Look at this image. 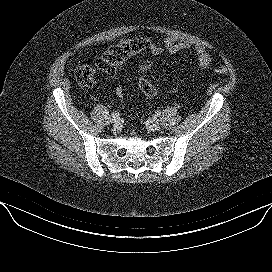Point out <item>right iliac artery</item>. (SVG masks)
<instances>
[{
    "label": "right iliac artery",
    "instance_id": "1",
    "mask_svg": "<svg viewBox=\"0 0 272 272\" xmlns=\"http://www.w3.org/2000/svg\"><path fill=\"white\" fill-rule=\"evenodd\" d=\"M112 117L115 118V117H119V112L115 111L112 113Z\"/></svg>",
    "mask_w": 272,
    "mask_h": 272
}]
</instances>
